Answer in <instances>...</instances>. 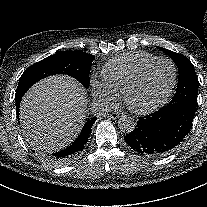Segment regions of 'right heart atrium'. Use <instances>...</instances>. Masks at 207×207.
I'll list each match as a JSON object with an SVG mask.
<instances>
[{"instance_id": "obj_1", "label": "right heart atrium", "mask_w": 207, "mask_h": 207, "mask_svg": "<svg viewBox=\"0 0 207 207\" xmlns=\"http://www.w3.org/2000/svg\"><path fill=\"white\" fill-rule=\"evenodd\" d=\"M90 87L93 97L105 105H111L116 101V96L108 85L96 75L90 77Z\"/></svg>"}]
</instances>
